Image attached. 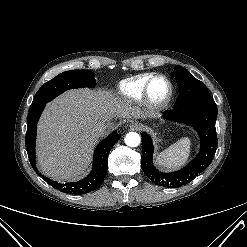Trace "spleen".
I'll return each mask as SVG.
<instances>
[{
	"mask_svg": "<svg viewBox=\"0 0 247 247\" xmlns=\"http://www.w3.org/2000/svg\"><path fill=\"white\" fill-rule=\"evenodd\" d=\"M190 148V139L184 137L157 155L156 163L167 169L179 168L187 162L190 156Z\"/></svg>",
	"mask_w": 247,
	"mask_h": 247,
	"instance_id": "obj_1",
	"label": "spleen"
}]
</instances>
